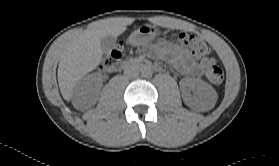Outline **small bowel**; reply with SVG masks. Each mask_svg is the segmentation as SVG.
Wrapping results in <instances>:
<instances>
[{
	"label": "small bowel",
	"mask_w": 279,
	"mask_h": 166,
	"mask_svg": "<svg viewBox=\"0 0 279 166\" xmlns=\"http://www.w3.org/2000/svg\"><path fill=\"white\" fill-rule=\"evenodd\" d=\"M154 54L168 59L179 72L187 75H201L206 67L215 63L211 57H204L199 62H195L185 49L173 43L157 45Z\"/></svg>",
	"instance_id": "c3829d8e"
}]
</instances>
